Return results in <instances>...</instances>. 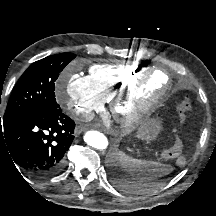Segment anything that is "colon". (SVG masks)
I'll return each mask as SVG.
<instances>
[{
  "instance_id": "5ec220e1",
  "label": "colon",
  "mask_w": 216,
  "mask_h": 216,
  "mask_svg": "<svg viewBox=\"0 0 216 216\" xmlns=\"http://www.w3.org/2000/svg\"><path fill=\"white\" fill-rule=\"evenodd\" d=\"M177 111L179 116V123L182 124L191 112V101L187 94L181 96L177 101ZM183 144L180 136L176 132L173 145L164 150L163 157L165 159H180L182 155Z\"/></svg>"
}]
</instances>
